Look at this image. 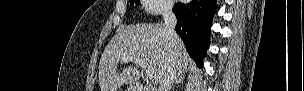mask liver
I'll return each instance as SVG.
<instances>
[{
    "label": "liver",
    "mask_w": 304,
    "mask_h": 91,
    "mask_svg": "<svg viewBox=\"0 0 304 91\" xmlns=\"http://www.w3.org/2000/svg\"><path fill=\"white\" fill-rule=\"evenodd\" d=\"M127 56L141 58L147 63L154 85L161 81L172 63L178 73H184L191 61L179 36L174 49H171L165 25L138 24L120 28L106 46L99 62L101 91H117L122 85L139 80L138 64L133 61H128L133 64L117 72L118 64Z\"/></svg>",
    "instance_id": "6515ba94"
}]
</instances>
